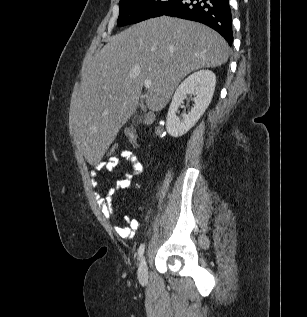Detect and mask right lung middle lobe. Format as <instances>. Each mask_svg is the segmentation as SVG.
Wrapping results in <instances>:
<instances>
[{
  "label": "right lung middle lobe",
  "mask_w": 307,
  "mask_h": 317,
  "mask_svg": "<svg viewBox=\"0 0 307 317\" xmlns=\"http://www.w3.org/2000/svg\"><path fill=\"white\" fill-rule=\"evenodd\" d=\"M176 0H122L119 5L118 26L134 24L161 16Z\"/></svg>",
  "instance_id": "1"
}]
</instances>
